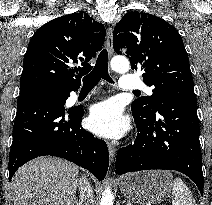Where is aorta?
I'll return each instance as SVG.
<instances>
[{"label":"aorta","mask_w":212,"mask_h":205,"mask_svg":"<svg viewBox=\"0 0 212 205\" xmlns=\"http://www.w3.org/2000/svg\"><path fill=\"white\" fill-rule=\"evenodd\" d=\"M110 65L112 70L118 73H126L130 68V62L124 56L113 57L111 59ZM100 205H113V194L109 186L105 188L104 192L102 193Z\"/></svg>","instance_id":"obj_1"}]
</instances>
